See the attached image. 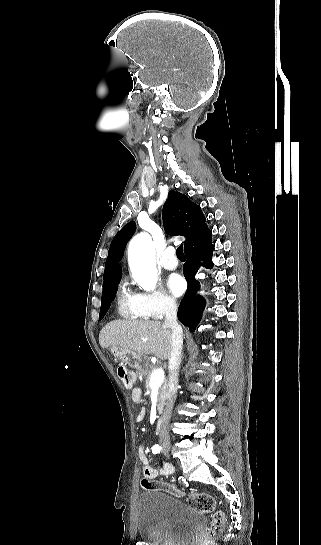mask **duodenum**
<instances>
[{
  "instance_id": "410a0bca",
  "label": "duodenum",
  "mask_w": 321,
  "mask_h": 545,
  "mask_svg": "<svg viewBox=\"0 0 321 545\" xmlns=\"http://www.w3.org/2000/svg\"><path fill=\"white\" fill-rule=\"evenodd\" d=\"M162 424H163V417H159V418L157 419L156 427H155V430H156V433H157V434H159V433L161 432Z\"/></svg>"
}]
</instances>
